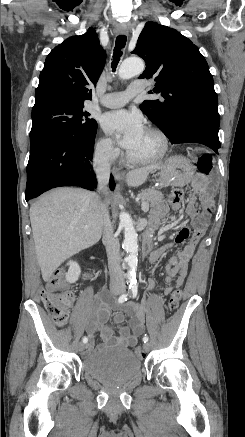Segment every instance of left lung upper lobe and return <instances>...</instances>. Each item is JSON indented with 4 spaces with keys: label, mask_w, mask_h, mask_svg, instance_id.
Instances as JSON below:
<instances>
[{
    "label": "left lung upper lobe",
    "mask_w": 245,
    "mask_h": 437,
    "mask_svg": "<svg viewBox=\"0 0 245 437\" xmlns=\"http://www.w3.org/2000/svg\"><path fill=\"white\" fill-rule=\"evenodd\" d=\"M132 53L146 62L139 78H154L156 82L149 93L161 96L145 100L140 109L169 140L189 116L220 123L218 97L208 64L187 37L175 29L147 22Z\"/></svg>",
    "instance_id": "obj_1"
}]
</instances>
